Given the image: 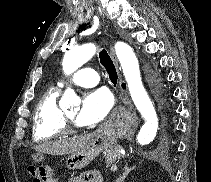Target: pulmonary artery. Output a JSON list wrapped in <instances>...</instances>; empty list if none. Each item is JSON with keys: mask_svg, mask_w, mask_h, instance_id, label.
I'll use <instances>...</instances> for the list:
<instances>
[{"mask_svg": "<svg viewBox=\"0 0 211 182\" xmlns=\"http://www.w3.org/2000/svg\"><path fill=\"white\" fill-rule=\"evenodd\" d=\"M71 82L83 86V87H93L99 82L98 73L91 68H82L77 70L71 77ZM65 81H60L58 86L60 88L64 87Z\"/></svg>", "mask_w": 211, "mask_h": 182, "instance_id": "pulmonary-artery-1", "label": "pulmonary artery"}]
</instances>
